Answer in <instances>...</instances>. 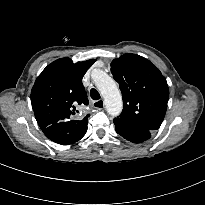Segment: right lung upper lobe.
<instances>
[{
    "instance_id": "obj_1",
    "label": "right lung upper lobe",
    "mask_w": 205,
    "mask_h": 205,
    "mask_svg": "<svg viewBox=\"0 0 205 205\" xmlns=\"http://www.w3.org/2000/svg\"><path fill=\"white\" fill-rule=\"evenodd\" d=\"M94 62L95 59L73 63L69 58H61L37 77L31 104L42 130L56 126V134L71 143L85 135L88 115L81 120H74L73 116L79 112L80 105L88 104L82 78Z\"/></svg>"
}]
</instances>
